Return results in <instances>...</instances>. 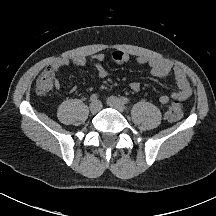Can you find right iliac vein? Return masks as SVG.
Listing matches in <instances>:
<instances>
[{
    "label": "right iliac vein",
    "instance_id": "1",
    "mask_svg": "<svg viewBox=\"0 0 216 216\" xmlns=\"http://www.w3.org/2000/svg\"><path fill=\"white\" fill-rule=\"evenodd\" d=\"M101 107H102V105H101V103H100L99 101L92 102V103L90 104V106H89L90 111H91L92 113H97V112H99L100 109H101Z\"/></svg>",
    "mask_w": 216,
    "mask_h": 216
}]
</instances>
